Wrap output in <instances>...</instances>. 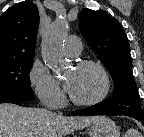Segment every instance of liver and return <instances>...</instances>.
I'll use <instances>...</instances> for the list:
<instances>
[{"mask_svg":"<svg viewBox=\"0 0 144 137\" xmlns=\"http://www.w3.org/2000/svg\"><path fill=\"white\" fill-rule=\"evenodd\" d=\"M99 119V116H63L46 109L3 103L0 137H62Z\"/></svg>","mask_w":144,"mask_h":137,"instance_id":"obj_1","label":"liver"}]
</instances>
